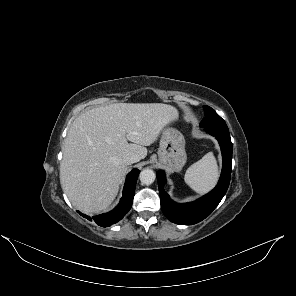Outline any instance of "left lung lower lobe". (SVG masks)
I'll list each match as a JSON object with an SVG mask.
<instances>
[{
    "mask_svg": "<svg viewBox=\"0 0 296 296\" xmlns=\"http://www.w3.org/2000/svg\"><path fill=\"white\" fill-rule=\"evenodd\" d=\"M205 131L216 137L223 157L220 180L210 193L194 202L177 204L170 199L164 190L166 183L165 173L163 171L156 173L162 211L170 221L177 224L192 225L205 219L218 206L230 183L232 142L228 127H207Z\"/></svg>",
    "mask_w": 296,
    "mask_h": 296,
    "instance_id": "0a47b994",
    "label": "left lung lower lobe"
}]
</instances>
